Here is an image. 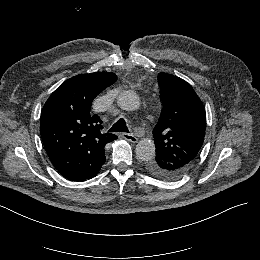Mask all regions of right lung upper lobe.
I'll use <instances>...</instances> for the list:
<instances>
[{
  "instance_id": "cb5924a9",
  "label": "right lung upper lobe",
  "mask_w": 260,
  "mask_h": 260,
  "mask_svg": "<svg viewBox=\"0 0 260 260\" xmlns=\"http://www.w3.org/2000/svg\"><path fill=\"white\" fill-rule=\"evenodd\" d=\"M116 78L110 72L80 74L60 85L45 103L40 134L50 161L65 178L91 179L105 163V145L117 136L102 132V121L90 107Z\"/></svg>"
}]
</instances>
